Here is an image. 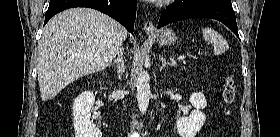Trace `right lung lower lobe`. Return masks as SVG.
<instances>
[{"instance_id":"1","label":"right lung lower lobe","mask_w":280,"mask_h":137,"mask_svg":"<svg viewBox=\"0 0 280 137\" xmlns=\"http://www.w3.org/2000/svg\"><path fill=\"white\" fill-rule=\"evenodd\" d=\"M137 0H50L45 23L55 14L71 7H89L114 18L133 34Z\"/></svg>"}]
</instances>
